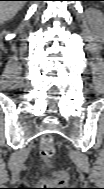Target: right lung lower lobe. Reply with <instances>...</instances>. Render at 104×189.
I'll return each mask as SVG.
<instances>
[{"instance_id":"1","label":"right lung lower lobe","mask_w":104,"mask_h":189,"mask_svg":"<svg viewBox=\"0 0 104 189\" xmlns=\"http://www.w3.org/2000/svg\"><path fill=\"white\" fill-rule=\"evenodd\" d=\"M18 1H30V0H18Z\"/></svg>"}]
</instances>
